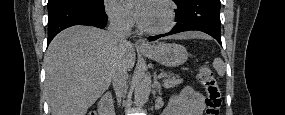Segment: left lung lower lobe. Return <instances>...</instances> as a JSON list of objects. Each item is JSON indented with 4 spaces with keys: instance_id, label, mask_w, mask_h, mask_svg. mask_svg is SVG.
Masks as SVG:
<instances>
[{
    "instance_id": "left-lung-lower-lobe-1",
    "label": "left lung lower lobe",
    "mask_w": 285,
    "mask_h": 115,
    "mask_svg": "<svg viewBox=\"0 0 285 115\" xmlns=\"http://www.w3.org/2000/svg\"><path fill=\"white\" fill-rule=\"evenodd\" d=\"M176 4V26L168 33L149 37L150 41L183 31L199 30L221 44L220 0H183Z\"/></svg>"
}]
</instances>
